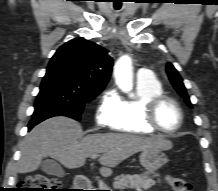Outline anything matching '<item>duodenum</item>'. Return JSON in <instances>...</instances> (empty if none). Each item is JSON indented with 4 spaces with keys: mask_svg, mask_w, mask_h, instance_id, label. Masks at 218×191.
<instances>
[{
    "mask_svg": "<svg viewBox=\"0 0 218 191\" xmlns=\"http://www.w3.org/2000/svg\"><path fill=\"white\" fill-rule=\"evenodd\" d=\"M75 191H89L92 186L90 180L85 176H78L74 182Z\"/></svg>",
    "mask_w": 218,
    "mask_h": 191,
    "instance_id": "duodenum-1",
    "label": "duodenum"
}]
</instances>
